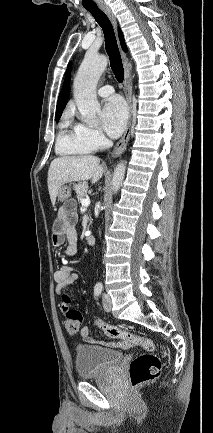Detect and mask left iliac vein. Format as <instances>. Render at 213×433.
<instances>
[{
	"label": "left iliac vein",
	"instance_id": "left-iliac-vein-1",
	"mask_svg": "<svg viewBox=\"0 0 213 433\" xmlns=\"http://www.w3.org/2000/svg\"><path fill=\"white\" fill-rule=\"evenodd\" d=\"M103 308L105 311L110 312L112 309V301L109 295H103Z\"/></svg>",
	"mask_w": 213,
	"mask_h": 433
}]
</instances>
